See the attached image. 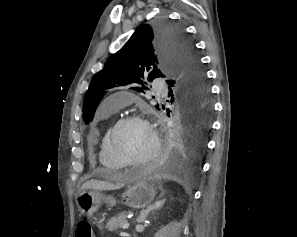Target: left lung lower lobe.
<instances>
[{
    "label": "left lung lower lobe",
    "mask_w": 297,
    "mask_h": 237,
    "mask_svg": "<svg viewBox=\"0 0 297 237\" xmlns=\"http://www.w3.org/2000/svg\"><path fill=\"white\" fill-rule=\"evenodd\" d=\"M169 90L171 101L175 96L182 129L169 138L163 163L168 168H188L198 161L205 148L212 106L211 103L199 106L187 97H178L170 85Z\"/></svg>",
    "instance_id": "left-lung-lower-lobe-1"
}]
</instances>
